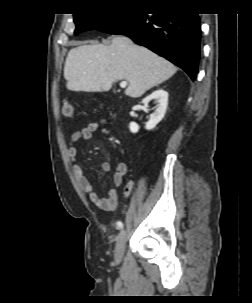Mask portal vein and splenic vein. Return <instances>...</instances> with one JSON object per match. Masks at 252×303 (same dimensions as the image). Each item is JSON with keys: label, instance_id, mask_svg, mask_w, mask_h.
Wrapping results in <instances>:
<instances>
[{"label": "portal vein and splenic vein", "instance_id": "obj_1", "mask_svg": "<svg viewBox=\"0 0 252 303\" xmlns=\"http://www.w3.org/2000/svg\"><path fill=\"white\" fill-rule=\"evenodd\" d=\"M127 86V81H122L121 83H120V87L121 88H125Z\"/></svg>", "mask_w": 252, "mask_h": 303}]
</instances>
